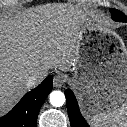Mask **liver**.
Segmentation results:
<instances>
[{
	"label": "liver",
	"instance_id": "6515ba94",
	"mask_svg": "<svg viewBox=\"0 0 127 127\" xmlns=\"http://www.w3.org/2000/svg\"><path fill=\"white\" fill-rule=\"evenodd\" d=\"M86 21L87 14L69 4L38 6L0 18V116L30 89L29 77L74 66Z\"/></svg>",
	"mask_w": 127,
	"mask_h": 127
}]
</instances>
